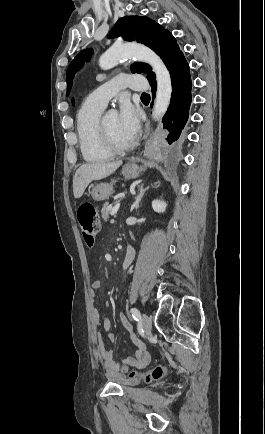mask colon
Masks as SVG:
<instances>
[{
    "label": "colon",
    "mask_w": 265,
    "mask_h": 434,
    "mask_svg": "<svg viewBox=\"0 0 265 434\" xmlns=\"http://www.w3.org/2000/svg\"><path fill=\"white\" fill-rule=\"evenodd\" d=\"M76 216L79 222L81 234L86 246H92L98 233L99 214L96 208L90 203L85 202L76 209ZM136 374V372H133ZM131 378L132 372L128 371ZM147 381L159 380L167 375V367L157 365L146 373H141Z\"/></svg>",
    "instance_id": "colon-1"
}]
</instances>
